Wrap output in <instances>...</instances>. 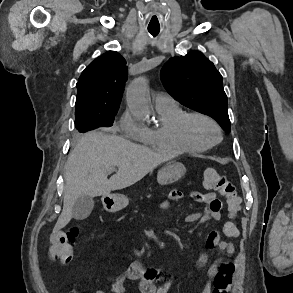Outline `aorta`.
Masks as SVG:
<instances>
[{"label":"aorta","mask_w":293,"mask_h":293,"mask_svg":"<svg viewBox=\"0 0 293 293\" xmlns=\"http://www.w3.org/2000/svg\"><path fill=\"white\" fill-rule=\"evenodd\" d=\"M128 104L131 110L140 117H148L151 113L145 77L134 80L127 90Z\"/></svg>","instance_id":"762f6f07"}]
</instances>
